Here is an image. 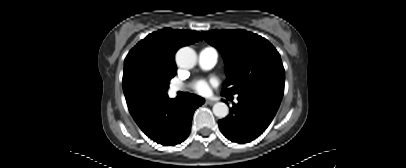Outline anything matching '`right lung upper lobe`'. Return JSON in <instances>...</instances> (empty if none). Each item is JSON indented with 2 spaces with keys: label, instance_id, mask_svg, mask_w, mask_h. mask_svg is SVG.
I'll return each mask as SVG.
<instances>
[{
  "label": "right lung upper lobe",
  "instance_id": "cb5924a9",
  "mask_svg": "<svg viewBox=\"0 0 406 168\" xmlns=\"http://www.w3.org/2000/svg\"><path fill=\"white\" fill-rule=\"evenodd\" d=\"M202 36L197 31L165 28L146 36L130 50L124 61L123 90L130 113L140 109L134 98V85L142 74L174 77V55L182 47L197 42Z\"/></svg>",
  "mask_w": 406,
  "mask_h": 168
}]
</instances>
